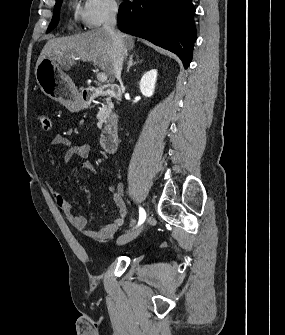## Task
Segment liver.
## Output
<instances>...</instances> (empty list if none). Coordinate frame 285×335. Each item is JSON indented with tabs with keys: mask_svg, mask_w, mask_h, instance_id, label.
I'll list each match as a JSON object with an SVG mask.
<instances>
[{
	"mask_svg": "<svg viewBox=\"0 0 285 335\" xmlns=\"http://www.w3.org/2000/svg\"><path fill=\"white\" fill-rule=\"evenodd\" d=\"M126 50H133L132 36L123 34ZM112 40L103 28H96L84 34L65 36V38H53L45 44L37 64L43 58L56 60L63 68H70L77 60L80 62H93L109 78L110 84L115 82V72L112 58Z\"/></svg>",
	"mask_w": 285,
	"mask_h": 335,
	"instance_id": "1",
	"label": "liver"
}]
</instances>
